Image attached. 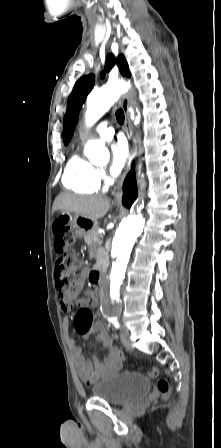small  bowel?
<instances>
[{
  "mask_svg": "<svg viewBox=\"0 0 221 448\" xmlns=\"http://www.w3.org/2000/svg\"><path fill=\"white\" fill-rule=\"evenodd\" d=\"M53 233L55 249L57 252H61V242L57 239L54 229ZM84 281L85 275L82 274L73 280L71 287L66 292H60V306L63 311L69 312L72 309L73 301L76 300L81 307L73 321L76 331L85 338L94 334L96 341L107 351L103 359L95 354H92L91 359H86L69 332L70 319L68 317L63 319L65 341L73 365L83 381L93 382L105 375L119 371L124 358L120 350L113 345L104 324L100 320H94L91 308L96 305V295L91 291H83ZM87 321L90 322L88 327H86Z\"/></svg>",
  "mask_w": 221,
  "mask_h": 448,
  "instance_id": "c3829d8e",
  "label": "small bowel"
}]
</instances>
